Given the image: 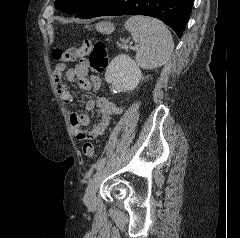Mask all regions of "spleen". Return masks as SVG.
<instances>
[{"instance_id": "3e777b00", "label": "spleen", "mask_w": 240, "mask_h": 238, "mask_svg": "<svg viewBox=\"0 0 240 238\" xmlns=\"http://www.w3.org/2000/svg\"><path fill=\"white\" fill-rule=\"evenodd\" d=\"M136 45V62L144 69L164 65L174 48L173 37L159 20L150 17L132 16L125 22Z\"/></svg>"}]
</instances>
